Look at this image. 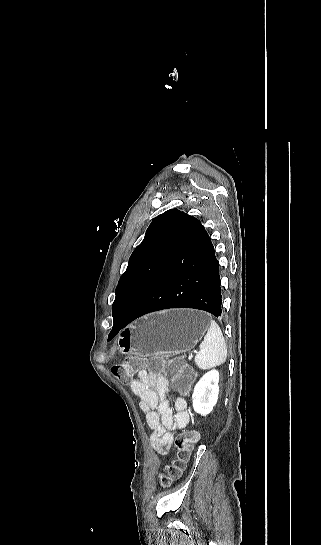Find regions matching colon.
<instances>
[{"mask_svg": "<svg viewBox=\"0 0 321 545\" xmlns=\"http://www.w3.org/2000/svg\"><path fill=\"white\" fill-rule=\"evenodd\" d=\"M143 366H147L151 374L165 372L173 376L175 388L183 394L188 391L193 380L192 371L181 359L165 360L158 356H152L146 360L138 357L130 358L123 363L113 366L112 373L123 384H129L133 381L134 374ZM197 441L198 434L195 432H187L177 436L174 442L177 458L166 466L164 473L160 476V482L163 485L169 484L181 475L185 461Z\"/></svg>", "mask_w": 321, "mask_h": 545, "instance_id": "5ec220e1", "label": "colon"}]
</instances>
